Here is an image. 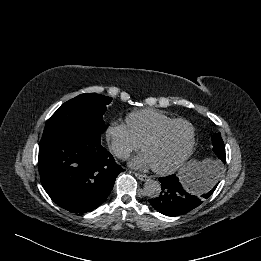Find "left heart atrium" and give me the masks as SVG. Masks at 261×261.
Masks as SVG:
<instances>
[{"instance_id": "1", "label": "left heart atrium", "mask_w": 261, "mask_h": 261, "mask_svg": "<svg viewBox=\"0 0 261 261\" xmlns=\"http://www.w3.org/2000/svg\"><path fill=\"white\" fill-rule=\"evenodd\" d=\"M131 165L136 168H145V167H151L152 162L148 154L146 152H143L142 154L134 157L131 160Z\"/></svg>"}]
</instances>
